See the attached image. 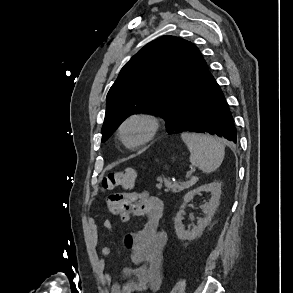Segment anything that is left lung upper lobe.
Wrapping results in <instances>:
<instances>
[{
  "label": "left lung upper lobe",
  "mask_w": 293,
  "mask_h": 293,
  "mask_svg": "<svg viewBox=\"0 0 293 293\" xmlns=\"http://www.w3.org/2000/svg\"><path fill=\"white\" fill-rule=\"evenodd\" d=\"M211 78L193 43L174 36L151 41L125 64L107 94L102 142L127 117L142 112L163 117L172 132L188 102Z\"/></svg>",
  "instance_id": "left-lung-upper-lobe-1"
}]
</instances>
